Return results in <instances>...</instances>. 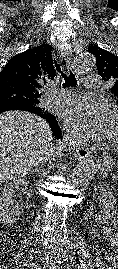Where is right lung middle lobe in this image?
I'll return each mask as SVG.
<instances>
[{"label": "right lung middle lobe", "instance_id": "obj_1", "mask_svg": "<svg viewBox=\"0 0 118 269\" xmlns=\"http://www.w3.org/2000/svg\"><path fill=\"white\" fill-rule=\"evenodd\" d=\"M17 102L23 103V104H27V105H32V101L26 98H22V97H16Z\"/></svg>", "mask_w": 118, "mask_h": 269}]
</instances>
